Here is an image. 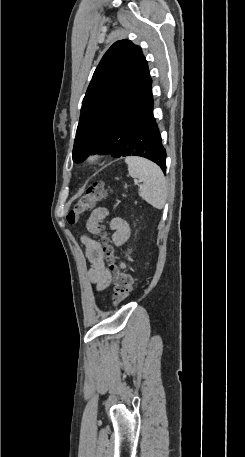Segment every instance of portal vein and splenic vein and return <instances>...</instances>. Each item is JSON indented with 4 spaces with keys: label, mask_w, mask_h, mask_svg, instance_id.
Returning <instances> with one entry per match:
<instances>
[{
    "label": "portal vein and splenic vein",
    "mask_w": 245,
    "mask_h": 457,
    "mask_svg": "<svg viewBox=\"0 0 245 457\" xmlns=\"http://www.w3.org/2000/svg\"><path fill=\"white\" fill-rule=\"evenodd\" d=\"M138 182H141V180H137V178H135L134 184H138Z\"/></svg>",
    "instance_id": "obj_1"
}]
</instances>
